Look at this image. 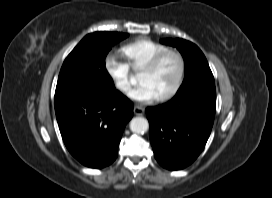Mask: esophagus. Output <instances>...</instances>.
Masks as SVG:
<instances>
[{"mask_svg": "<svg viewBox=\"0 0 272 198\" xmlns=\"http://www.w3.org/2000/svg\"><path fill=\"white\" fill-rule=\"evenodd\" d=\"M144 108H142V107H139V106H135L134 108H133V112H134V114L136 115V116H142L143 114H144Z\"/></svg>", "mask_w": 272, "mask_h": 198, "instance_id": "1", "label": "esophagus"}]
</instances>
